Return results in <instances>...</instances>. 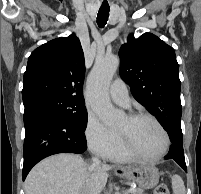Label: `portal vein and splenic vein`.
I'll return each mask as SVG.
<instances>
[{
	"instance_id": "obj_1",
	"label": "portal vein and splenic vein",
	"mask_w": 201,
	"mask_h": 194,
	"mask_svg": "<svg viewBox=\"0 0 201 194\" xmlns=\"http://www.w3.org/2000/svg\"><path fill=\"white\" fill-rule=\"evenodd\" d=\"M132 191H133L132 189H129V190H128V192H132Z\"/></svg>"
}]
</instances>
